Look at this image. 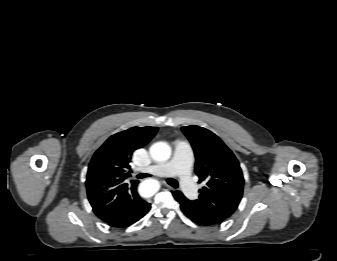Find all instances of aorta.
<instances>
[{
    "label": "aorta",
    "instance_id": "762f6f07",
    "mask_svg": "<svg viewBox=\"0 0 337 261\" xmlns=\"http://www.w3.org/2000/svg\"><path fill=\"white\" fill-rule=\"evenodd\" d=\"M150 155L156 162H165L171 156V148L165 142H157L150 147ZM158 189L159 183L155 179H146L139 185V193L144 197L153 196Z\"/></svg>",
    "mask_w": 337,
    "mask_h": 261
}]
</instances>
